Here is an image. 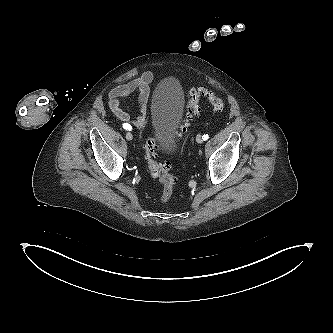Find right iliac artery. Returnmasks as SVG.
Returning <instances> with one entry per match:
<instances>
[{"label":"right iliac artery","mask_w":333,"mask_h":333,"mask_svg":"<svg viewBox=\"0 0 333 333\" xmlns=\"http://www.w3.org/2000/svg\"><path fill=\"white\" fill-rule=\"evenodd\" d=\"M123 128L125 129V130H132V127H131V125L130 124H128V123H124L123 124Z\"/></svg>","instance_id":"82829eb1"}]
</instances>
